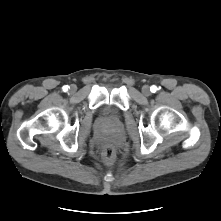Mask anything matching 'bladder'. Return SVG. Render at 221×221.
I'll list each match as a JSON object with an SVG mask.
<instances>
[{"label": "bladder", "mask_w": 221, "mask_h": 221, "mask_svg": "<svg viewBox=\"0 0 221 221\" xmlns=\"http://www.w3.org/2000/svg\"><path fill=\"white\" fill-rule=\"evenodd\" d=\"M103 116L113 122L119 121L121 118V114L110 106L103 108Z\"/></svg>", "instance_id": "bladder-1"}]
</instances>
